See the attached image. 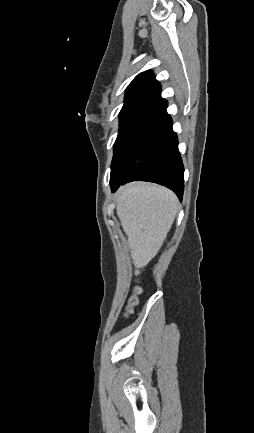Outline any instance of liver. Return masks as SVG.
I'll list each match as a JSON object with an SVG mask.
<instances>
[{
  "label": "liver",
  "instance_id": "liver-1",
  "mask_svg": "<svg viewBox=\"0 0 254 433\" xmlns=\"http://www.w3.org/2000/svg\"><path fill=\"white\" fill-rule=\"evenodd\" d=\"M178 210L176 195L169 189L131 183L117 193V215L128 237L135 267L147 265L160 250Z\"/></svg>",
  "mask_w": 254,
  "mask_h": 433
}]
</instances>
